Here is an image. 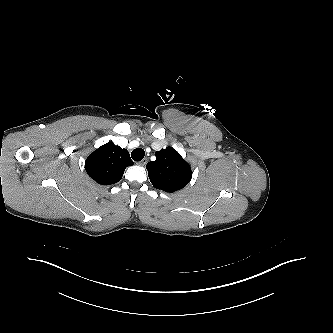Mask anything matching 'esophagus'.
I'll use <instances>...</instances> for the list:
<instances>
[{"instance_id":"obj_1","label":"esophagus","mask_w":333,"mask_h":333,"mask_svg":"<svg viewBox=\"0 0 333 333\" xmlns=\"http://www.w3.org/2000/svg\"><path fill=\"white\" fill-rule=\"evenodd\" d=\"M148 162L147 158H143L141 161L138 162V165L145 166Z\"/></svg>"}]
</instances>
